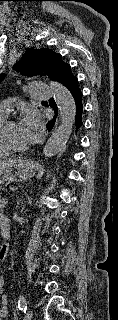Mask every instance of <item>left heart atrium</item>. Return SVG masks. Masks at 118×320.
Returning a JSON list of instances; mask_svg holds the SVG:
<instances>
[{"instance_id": "left-heart-atrium-1", "label": "left heart atrium", "mask_w": 118, "mask_h": 320, "mask_svg": "<svg viewBox=\"0 0 118 320\" xmlns=\"http://www.w3.org/2000/svg\"><path fill=\"white\" fill-rule=\"evenodd\" d=\"M19 125L27 144L36 143L42 135L43 127L41 119L35 112H29Z\"/></svg>"}]
</instances>
